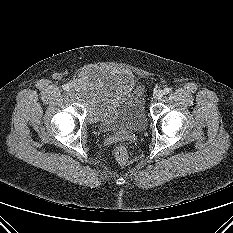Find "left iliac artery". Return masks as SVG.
<instances>
[{
  "label": "left iliac artery",
  "instance_id": "left-iliac-artery-1",
  "mask_svg": "<svg viewBox=\"0 0 233 233\" xmlns=\"http://www.w3.org/2000/svg\"><path fill=\"white\" fill-rule=\"evenodd\" d=\"M170 91H171V89H170V88H165V89L163 90V93H164V94H169V93H170Z\"/></svg>",
  "mask_w": 233,
  "mask_h": 233
}]
</instances>
